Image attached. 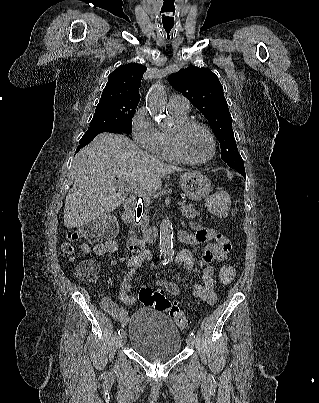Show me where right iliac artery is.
Here are the masks:
<instances>
[{
    "instance_id": "82829eb1",
    "label": "right iliac artery",
    "mask_w": 319,
    "mask_h": 403,
    "mask_svg": "<svg viewBox=\"0 0 319 403\" xmlns=\"http://www.w3.org/2000/svg\"><path fill=\"white\" fill-rule=\"evenodd\" d=\"M123 332H124L123 329L118 330L119 335L122 334Z\"/></svg>"
}]
</instances>
